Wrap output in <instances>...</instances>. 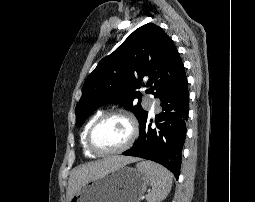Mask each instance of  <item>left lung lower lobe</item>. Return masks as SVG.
Segmentation results:
<instances>
[{
	"label": "left lung lower lobe",
	"instance_id": "1",
	"mask_svg": "<svg viewBox=\"0 0 255 202\" xmlns=\"http://www.w3.org/2000/svg\"><path fill=\"white\" fill-rule=\"evenodd\" d=\"M162 112L156 115V128L148 117L140 126L137 142L123 155L155 161L168 168L178 179L181 151L186 137L189 91L186 75L160 97Z\"/></svg>",
	"mask_w": 255,
	"mask_h": 202
}]
</instances>
